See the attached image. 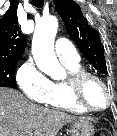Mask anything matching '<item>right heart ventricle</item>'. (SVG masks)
<instances>
[{
	"label": "right heart ventricle",
	"mask_w": 117,
	"mask_h": 136,
	"mask_svg": "<svg viewBox=\"0 0 117 136\" xmlns=\"http://www.w3.org/2000/svg\"><path fill=\"white\" fill-rule=\"evenodd\" d=\"M64 65L66 66L70 73L82 70L79 62L64 63ZM46 104L51 107L72 113L77 114L86 113L84 110L78 107L72 100L66 81L52 82L51 91L49 93Z\"/></svg>",
	"instance_id": "1"
}]
</instances>
